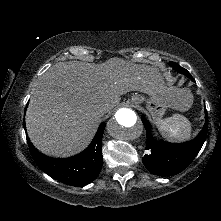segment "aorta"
<instances>
[{
  "instance_id": "1",
  "label": "aorta",
  "mask_w": 221,
  "mask_h": 221,
  "mask_svg": "<svg viewBox=\"0 0 221 221\" xmlns=\"http://www.w3.org/2000/svg\"><path fill=\"white\" fill-rule=\"evenodd\" d=\"M106 129L112 137L122 141H130L141 135L143 126L133 110L121 108L109 119Z\"/></svg>"
}]
</instances>
